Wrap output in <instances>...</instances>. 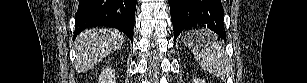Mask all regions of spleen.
I'll use <instances>...</instances> for the list:
<instances>
[{"mask_svg": "<svg viewBox=\"0 0 307 83\" xmlns=\"http://www.w3.org/2000/svg\"><path fill=\"white\" fill-rule=\"evenodd\" d=\"M192 42L195 60L201 68L224 78L229 73L228 57L215 34L207 30H196L184 35Z\"/></svg>", "mask_w": 307, "mask_h": 83, "instance_id": "1", "label": "spleen"}]
</instances>
